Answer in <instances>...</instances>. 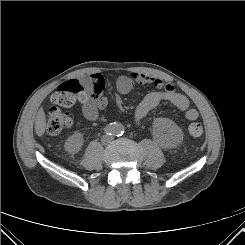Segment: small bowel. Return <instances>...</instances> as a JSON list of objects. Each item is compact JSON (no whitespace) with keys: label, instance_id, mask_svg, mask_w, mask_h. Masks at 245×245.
Instances as JSON below:
<instances>
[{"label":"small bowel","instance_id":"small-bowel-1","mask_svg":"<svg viewBox=\"0 0 245 245\" xmlns=\"http://www.w3.org/2000/svg\"><path fill=\"white\" fill-rule=\"evenodd\" d=\"M87 84L90 96L82 103L83 116L90 121L99 118V111L106 108L108 98L103 95L104 78L100 73H92L79 80ZM153 85L156 90L148 93L137 105L134 112V122L139 125L151 110L156 108L161 102H169L176 108L183 111L184 116L189 121L198 118L199 113L192 108L189 99L176 92L171 84L164 83L161 79L134 72L131 75H120L116 80L117 91L126 95L130 93L135 85Z\"/></svg>","mask_w":245,"mask_h":245}]
</instances>
